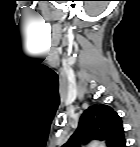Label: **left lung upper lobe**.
Returning <instances> with one entry per match:
<instances>
[{"instance_id":"1","label":"left lung upper lobe","mask_w":140,"mask_h":147,"mask_svg":"<svg viewBox=\"0 0 140 147\" xmlns=\"http://www.w3.org/2000/svg\"><path fill=\"white\" fill-rule=\"evenodd\" d=\"M99 139L108 147H125V135L121 117L107 105L89 107L81 116L79 125L63 147H79L81 140Z\"/></svg>"}]
</instances>
